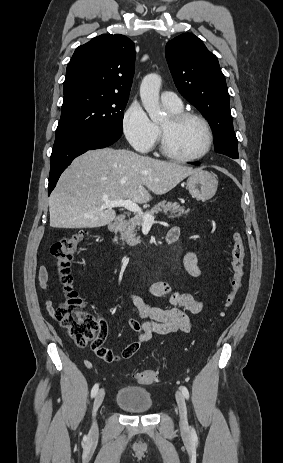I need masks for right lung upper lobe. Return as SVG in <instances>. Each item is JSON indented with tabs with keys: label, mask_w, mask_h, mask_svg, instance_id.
<instances>
[{
	"label": "right lung upper lobe",
	"mask_w": 283,
	"mask_h": 463,
	"mask_svg": "<svg viewBox=\"0 0 283 463\" xmlns=\"http://www.w3.org/2000/svg\"><path fill=\"white\" fill-rule=\"evenodd\" d=\"M134 43L124 35L103 34L76 48L67 65L64 100L80 92L129 97Z\"/></svg>",
	"instance_id": "obj_1"
}]
</instances>
